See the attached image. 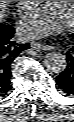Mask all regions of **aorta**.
Segmentation results:
<instances>
[{
  "mask_svg": "<svg viewBox=\"0 0 74 122\" xmlns=\"http://www.w3.org/2000/svg\"><path fill=\"white\" fill-rule=\"evenodd\" d=\"M44 65L49 72L60 74L67 67V58L60 52L52 51L45 55Z\"/></svg>",
  "mask_w": 74,
  "mask_h": 122,
  "instance_id": "obj_1",
  "label": "aorta"
}]
</instances>
